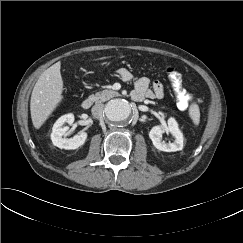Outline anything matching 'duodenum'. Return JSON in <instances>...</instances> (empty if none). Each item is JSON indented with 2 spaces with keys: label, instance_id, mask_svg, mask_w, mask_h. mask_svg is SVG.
I'll return each instance as SVG.
<instances>
[{
  "label": "duodenum",
  "instance_id": "obj_1",
  "mask_svg": "<svg viewBox=\"0 0 243 243\" xmlns=\"http://www.w3.org/2000/svg\"><path fill=\"white\" fill-rule=\"evenodd\" d=\"M93 104V100L91 98H86L82 102V108L87 110L89 109Z\"/></svg>",
  "mask_w": 243,
  "mask_h": 243
}]
</instances>
